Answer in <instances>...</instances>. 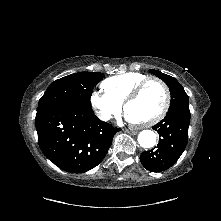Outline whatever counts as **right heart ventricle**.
Segmentation results:
<instances>
[{
    "mask_svg": "<svg viewBox=\"0 0 221 221\" xmlns=\"http://www.w3.org/2000/svg\"><path fill=\"white\" fill-rule=\"evenodd\" d=\"M146 78L139 72H126L105 79L101 86L110 98L122 105L129 93Z\"/></svg>",
    "mask_w": 221,
    "mask_h": 221,
    "instance_id": "right-heart-ventricle-1",
    "label": "right heart ventricle"
}]
</instances>
